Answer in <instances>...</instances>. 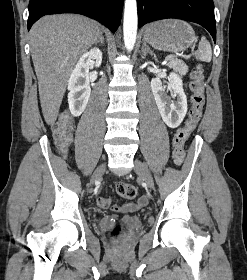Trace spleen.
<instances>
[{"instance_id":"spleen-1","label":"spleen","mask_w":247,"mask_h":280,"mask_svg":"<svg viewBox=\"0 0 247 280\" xmlns=\"http://www.w3.org/2000/svg\"><path fill=\"white\" fill-rule=\"evenodd\" d=\"M197 60L210 62L212 59V49L209 41L203 36L199 42L198 50L194 53Z\"/></svg>"}]
</instances>
